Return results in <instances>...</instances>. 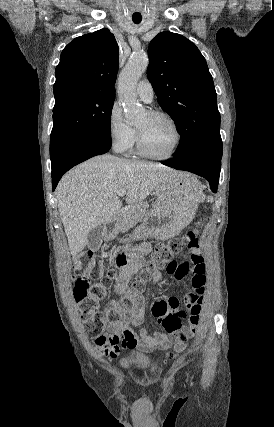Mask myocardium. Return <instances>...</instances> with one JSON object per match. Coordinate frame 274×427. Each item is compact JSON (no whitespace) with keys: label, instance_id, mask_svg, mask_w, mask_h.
<instances>
[{"label":"myocardium","instance_id":"myocardium-1","mask_svg":"<svg viewBox=\"0 0 274 427\" xmlns=\"http://www.w3.org/2000/svg\"><path fill=\"white\" fill-rule=\"evenodd\" d=\"M147 113L149 114V116H151L153 118H163L170 123V125L174 131V134H175V142H174V145H173L172 149L170 150V152L167 153L166 155H162V156L153 155V154L148 153L144 149L140 134H139L138 130L135 129L136 150L141 157L146 158V159L157 160V161L168 160L176 154V152L178 151L180 144H181V132H180V129L178 127V124L175 121V119L170 114H168L166 112L152 110V111H148Z\"/></svg>","mask_w":274,"mask_h":427}]
</instances>
